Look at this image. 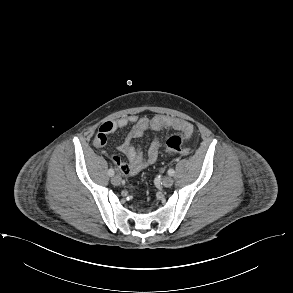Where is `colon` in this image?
<instances>
[{
	"label": "colon",
	"mask_w": 293,
	"mask_h": 293,
	"mask_svg": "<svg viewBox=\"0 0 293 293\" xmlns=\"http://www.w3.org/2000/svg\"><path fill=\"white\" fill-rule=\"evenodd\" d=\"M194 142L192 139L182 137L180 135L170 136L164 149L169 154L187 155L193 150Z\"/></svg>",
	"instance_id": "1"
}]
</instances>
